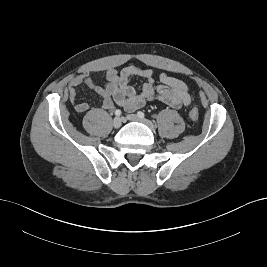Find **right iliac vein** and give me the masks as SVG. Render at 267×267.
Returning a JSON list of instances; mask_svg holds the SVG:
<instances>
[{"mask_svg": "<svg viewBox=\"0 0 267 267\" xmlns=\"http://www.w3.org/2000/svg\"><path fill=\"white\" fill-rule=\"evenodd\" d=\"M112 125L114 128H120L122 125V119L120 117H115L113 119Z\"/></svg>", "mask_w": 267, "mask_h": 267, "instance_id": "right-iliac-vein-1", "label": "right iliac vein"}]
</instances>
